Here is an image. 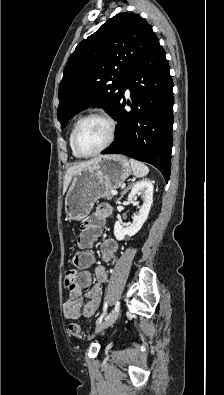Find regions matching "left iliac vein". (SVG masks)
Returning <instances> with one entry per match:
<instances>
[{
	"label": "left iliac vein",
	"mask_w": 224,
	"mask_h": 395,
	"mask_svg": "<svg viewBox=\"0 0 224 395\" xmlns=\"http://www.w3.org/2000/svg\"><path fill=\"white\" fill-rule=\"evenodd\" d=\"M120 310V309H119ZM119 310L115 311L111 314L108 318H106L100 325H98L95 329V332L98 333L104 329L109 328L112 326L118 318Z\"/></svg>",
	"instance_id": "obj_1"
}]
</instances>
